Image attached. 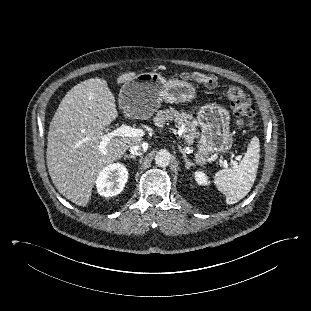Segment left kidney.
I'll list each match as a JSON object with an SVG mask.
<instances>
[{
    "label": "left kidney",
    "instance_id": "5707ae66",
    "mask_svg": "<svg viewBox=\"0 0 311 311\" xmlns=\"http://www.w3.org/2000/svg\"><path fill=\"white\" fill-rule=\"evenodd\" d=\"M195 180L199 185H208V178L203 172H195Z\"/></svg>",
    "mask_w": 311,
    "mask_h": 311
}]
</instances>
